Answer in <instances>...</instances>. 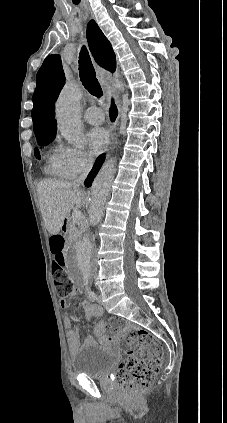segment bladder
<instances>
[{
	"mask_svg": "<svg viewBox=\"0 0 227 423\" xmlns=\"http://www.w3.org/2000/svg\"><path fill=\"white\" fill-rule=\"evenodd\" d=\"M119 357L114 352L101 348L97 343L83 345L72 359V371L94 380H103L111 375Z\"/></svg>",
	"mask_w": 227,
	"mask_h": 423,
	"instance_id": "obj_1",
	"label": "bladder"
}]
</instances>
